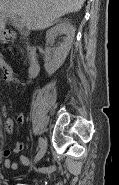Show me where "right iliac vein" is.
<instances>
[{
    "instance_id": "1",
    "label": "right iliac vein",
    "mask_w": 119,
    "mask_h": 185,
    "mask_svg": "<svg viewBox=\"0 0 119 185\" xmlns=\"http://www.w3.org/2000/svg\"><path fill=\"white\" fill-rule=\"evenodd\" d=\"M47 148V140L45 138H42V145L40 146L39 152L36 156V158L33 161V164H36L45 154Z\"/></svg>"
}]
</instances>
